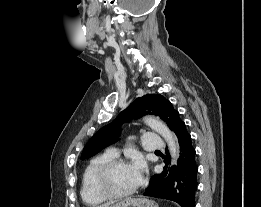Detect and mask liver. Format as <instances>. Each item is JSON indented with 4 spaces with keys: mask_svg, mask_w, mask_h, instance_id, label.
I'll return each mask as SVG.
<instances>
[{
    "mask_svg": "<svg viewBox=\"0 0 261 207\" xmlns=\"http://www.w3.org/2000/svg\"><path fill=\"white\" fill-rule=\"evenodd\" d=\"M114 202L112 201V202H107V203H105V204H102V205H100V206H97V207H109L111 204H113Z\"/></svg>",
    "mask_w": 261,
    "mask_h": 207,
    "instance_id": "6515ba94",
    "label": "liver"
}]
</instances>
